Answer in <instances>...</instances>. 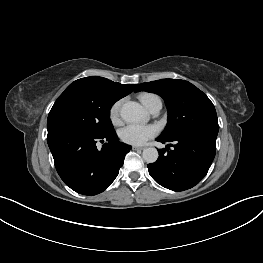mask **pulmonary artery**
<instances>
[{"mask_svg":"<svg viewBox=\"0 0 263 263\" xmlns=\"http://www.w3.org/2000/svg\"><path fill=\"white\" fill-rule=\"evenodd\" d=\"M161 108L162 102L159 97H156L150 104L148 111L153 115H157L160 112Z\"/></svg>","mask_w":263,"mask_h":263,"instance_id":"obj_1","label":"pulmonary artery"}]
</instances>
